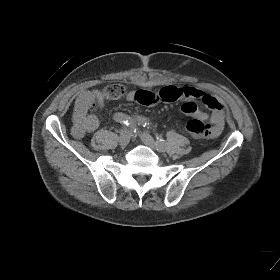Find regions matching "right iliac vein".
<instances>
[{
	"label": "right iliac vein",
	"mask_w": 280,
	"mask_h": 280,
	"mask_svg": "<svg viewBox=\"0 0 280 280\" xmlns=\"http://www.w3.org/2000/svg\"><path fill=\"white\" fill-rule=\"evenodd\" d=\"M130 141V133L127 129H123L120 132V136H119V144L122 147H125L128 145Z\"/></svg>",
	"instance_id": "1"
}]
</instances>
